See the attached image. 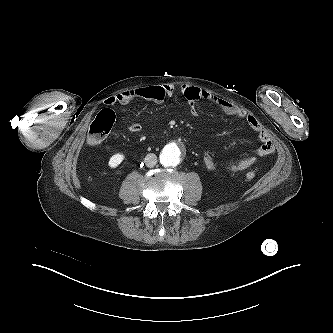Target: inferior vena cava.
<instances>
[{"label": "inferior vena cava", "instance_id": "obj_1", "mask_svg": "<svg viewBox=\"0 0 333 333\" xmlns=\"http://www.w3.org/2000/svg\"><path fill=\"white\" fill-rule=\"evenodd\" d=\"M144 162L147 167H154L157 164V156L153 153H149L146 155Z\"/></svg>", "mask_w": 333, "mask_h": 333}]
</instances>
